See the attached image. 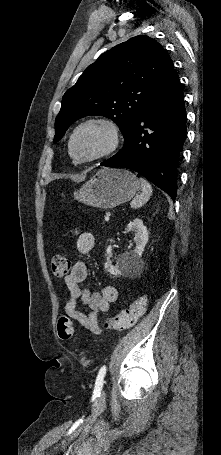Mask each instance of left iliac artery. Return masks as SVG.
Instances as JSON below:
<instances>
[{"label":"left iliac artery","instance_id":"left-iliac-artery-1","mask_svg":"<svg viewBox=\"0 0 221 455\" xmlns=\"http://www.w3.org/2000/svg\"><path fill=\"white\" fill-rule=\"evenodd\" d=\"M105 375H106V366L104 365L100 368L97 379H96V383H95L96 390L102 389Z\"/></svg>","mask_w":221,"mask_h":455}]
</instances>
